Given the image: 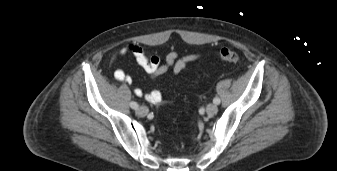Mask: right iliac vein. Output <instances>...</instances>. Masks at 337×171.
Listing matches in <instances>:
<instances>
[{"label":"right iliac vein","mask_w":337,"mask_h":171,"mask_svg":"<svg viewBox=\"0 0 337 171\" xmlns=\"http://www.w3.org/2000/svg\"><path fill=\"white\" fill-rule=\"evenodd\" d=\"M148 108L146 106H141L136 110V114L140 117H144L148 114Z\"/></svg>","instance_id":"63e3f726"}]
</instances>
